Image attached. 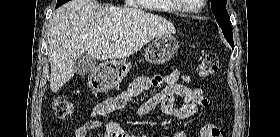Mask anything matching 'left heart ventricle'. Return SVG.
I'll use <instances>...</instances> for the list:
<instances>
[{"instance_id": "left-heart-ventricle-1", "label": "left heart ventricle", "mask_w": 280, "mask_h": 137, "mask_svg": "<svg viewBox=\"0 0 280 137\" xmlns=\"http://www.w3.org/2000/svg\"><path fill=\"white\" fill-rule=\"evenodd\" d=\"M193 4L192 5H195L197 0H190Z\"/></svg>"}]
</instances>
